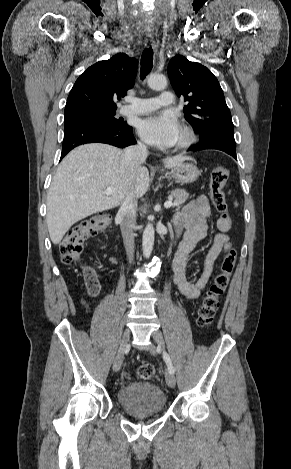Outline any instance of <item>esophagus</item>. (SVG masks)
<instances>
[{
	"label": "esophagus",
	"instance_id": "34e87169",
	"mask_svg": "<svg viewBox=\"0 0 291 469\" xmlns=\"http://www.w3.org/2000/svg\"><path fill=\"white\" fill-rule=\"evenodd\" d=\"M147 46H154V40L152 38H148L145 41Z\"/></svg>",
	"mask_w": 291,
	"mask_h": 469
}]
</instances>
